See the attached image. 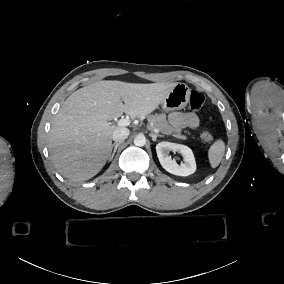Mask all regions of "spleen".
I'll return each mask as SVG.
<instances>
[{
    "mask_svg": "<svg viewBox=\"0 0 284 284\" xmlns=\"http://www.w3.org/2000/svg\"><path fill=\"white\" fill-rule=\"evenodd\" d=\"M226 150V143L222 138H217L209 147L208 149V161L210 167L215 169L219 166L222 161Z\"/></svg>",
    "mask_w": 284,
    "mask_h": 284,
    "instance_id": "obj_1",
    "label": "spleen"
}]
</instances>
